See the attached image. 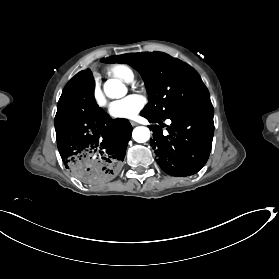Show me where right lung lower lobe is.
Instances as JSON below:
<instances>
[{
  "label": "right lung lower lobe",
  "mask_w": 279,
  "mask_h": 279,
  "mask_svg": "<svg viewBox=\"0 0 279 279\" xmlns=\"http://www.w3.org/2000/svg\"><path fill=\"white\" fill-rule=\"evenodd\" d=\"M55 129L62 161L78 180L100 185L119 175L132 127L126 119L113 120L98 107L89 69L76 74L64 87Z\"/></svg>",
  "instance_id": "1"
}]
</instances>
